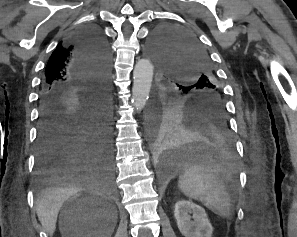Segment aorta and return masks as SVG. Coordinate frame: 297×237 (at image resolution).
I'll return each mask as SVG.
<instances>
[{"instance_id": "1", "label": "aorta", "mask_w": 297, "mask_h": 237, "mask_svg": "<svg viewBox=\"0 0 297 237\" xmlns=\"http://www.w3.org/2000/svg\"><path fill=\"white\" fill-rule=\"evenodd\" d=\"M153 70V65L147 58L138 60L134 67L132 104L137 111L143 109L148 99L153 79Z\"/></svg>"}]
</instances>
